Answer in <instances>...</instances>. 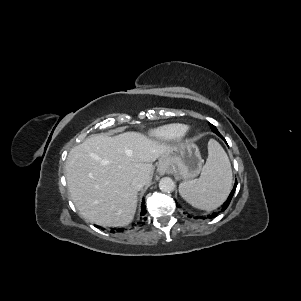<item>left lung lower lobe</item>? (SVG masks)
<instances>
[{"mask_svg":"<svg viewBox=\"0 0 301 301\" xmlns=\"http://www.w3.org/2000/svg\"><path fill=\"white\" fill-rule=\"evenodd\" d=\"M213 132L216 133L218 136H220L225 141V139L223 138V136L219 133V131L217 129H215ZM236 187H237V180H235L234 187H233L228 199L226 200V202H224V204L221 206L220 211H224L229 206L230 201H231V199L234 195V192L236 190ZM217 214H218V212H213L210 215H208L207 218L212 219V218L216 217ZM196 218H198V217H196Z\"/></svg>","mask_w":301,"mask_h":301,"instance_id":"1","label":"left lung lower lobe"}]
</instances>
